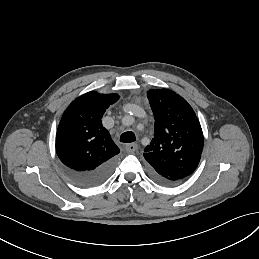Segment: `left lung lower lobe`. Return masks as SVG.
<instances>
[{"label": "left lung lower lobe", "instance_id": "1", "mask_svg": "<svg viewBox=\"0 0 259 259\" xmlns=\"http://www.w3.org/2000/svg\"><path fill=\"white\" fill-rule=\"evenodd\" d=\"M151 176H152V178H153L155 181H157L158 183L163 184V185H174V184L179 183V182H168V181H165V180H163L162 178H160V177H158V176H156V175H153L152 173H151Z\"/></svg>", "mask_w": 259, "mask_h": 259}]
</instances>
